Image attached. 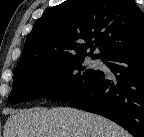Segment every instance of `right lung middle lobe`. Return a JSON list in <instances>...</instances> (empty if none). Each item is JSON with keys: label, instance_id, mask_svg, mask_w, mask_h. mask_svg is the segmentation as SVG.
Segmentation results:
<instances>
[{"label": "right lung middle lobe", "instance_id": "right-lung-middle-lobe-1", "mask_svg": "<svg viewBox=\"0 0 144 137\" xmlns=\"http://www.w3.org/2000/svg\"><path fill=\"white\" fill-rule=\"evenodd\" d=\"M84 57L33 61L17 66L9 100L16 104L44 96L69 101L83 93L100 75L83 65Z\"/></svg>", "mask_w": 144, "mask_h": 137}]
</instances>
